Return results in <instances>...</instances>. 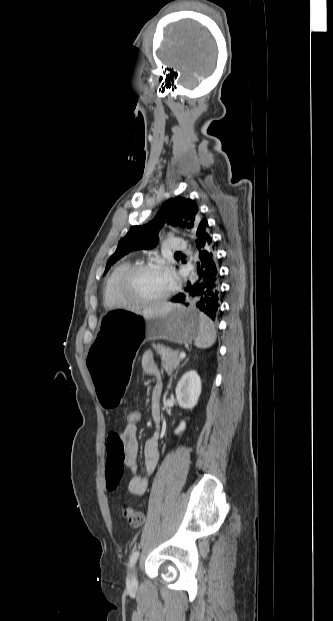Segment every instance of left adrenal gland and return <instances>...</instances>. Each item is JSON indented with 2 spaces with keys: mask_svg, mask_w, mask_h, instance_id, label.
<instances>
[{
  "mask_svg": "<svg viewBox=\"0 0 333 621\" xmlns=\"http://www.w3.org/2000/svg\"><path fill=\"white\" fill-rule=\"evenodd\" d=\"M187 361H188V360H185V362H184V363H183V364H182V365H181V366H180V367L176 370V372H175V373L171 376V378H170V384H171L172 378H173L174 376H176V375H177V373H178L179 369H180L181 367H183V366L187 363ZM170 384H169V386H170Z\"/></svg>",
  "mask_w": 333,
  "mask_h": 621,
  "instance_id": "a2214340",
  "label": "left adrenal gland"
}]
</instances>
